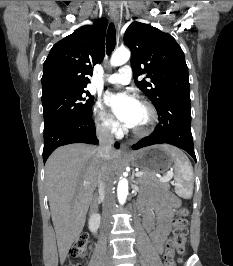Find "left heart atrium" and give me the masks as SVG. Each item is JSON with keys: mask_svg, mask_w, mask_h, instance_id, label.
Here are the masks:
<instances>
[{"mask_svg": "<svg viewBox=\"0 0 233 266\" xmlns=\"http://www.w3.org/2000/svg\"><path fill=\"white\" fill-rule=\"evenodd\" d=\"M117 119L127 127H134L137 121L140 102L131 94H108L106 97Z\"/></svg>", "mask_w": 233, "mask_h": 266, "instance_id": "obj_1", "label": "left heart atrium"}]
</instances>
